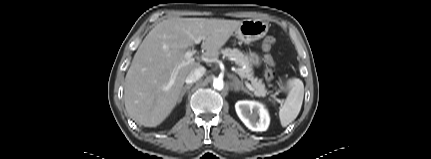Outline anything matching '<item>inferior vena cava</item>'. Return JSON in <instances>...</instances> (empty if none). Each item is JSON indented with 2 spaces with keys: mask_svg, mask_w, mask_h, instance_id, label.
I'll list each match as a JSON object with an SVG mask.
<instances>
[{
  "mask_svg": "<svg viewBox=\"0 0 431 159\" xmlns=\"http://www.w3.org/2000/svg\"><path fill=\"white\" fill-rule=\"evenodd\" d=\"M206 72V69L204 67H199L192 71L185 79V82L187 84L195 83L197 80H199Z\"/></svg>",
  "mask_w": 431,
  "mask_h": 159,
  "instance_id": "inferior-vena-cava-1",
  "label": "inferior vena cava"
}]
</instances>
